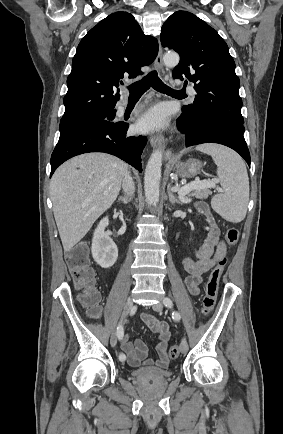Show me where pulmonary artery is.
Here are the masks:
<instances>
[{
  "label": "pulmonary artery",
  "instance_id": "e3ab8cb5",
  "mask_svg": "<svg viewBox=\"0 0 283 434\" xmlns=\"http://www.w3.org/2000/svg\"><path fill=\"white\" fill-rule=\"evenodd\" d=\"M186 92H187L189 95H191V96H194V95H195V90H194V88H193L192 86H188V87H186Z\"/></svg>",
  "mask_w": 283,
  "mask_h": 434
}]
</instances>
